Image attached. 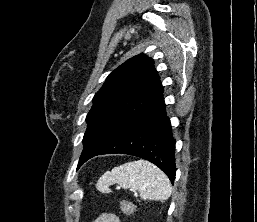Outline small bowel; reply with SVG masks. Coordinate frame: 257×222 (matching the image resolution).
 <instances>
[{"label": "small bowel", "mask_w": 257, "mask_h": 222, "mask_svg": "<svg viewBox=\"0 0 257 222\" xmlns=\"http://www.w3.org/2000/svg\"><path fill=\"white\" fill-rule=\"evenodd\" d=\"M94 222H121L120 218L113 213H105L98 217Z\"/></svg>", "instance_id": "small-bowel-1"}]
</instances>
